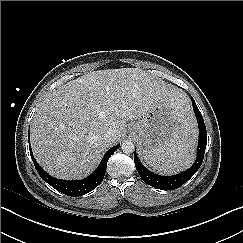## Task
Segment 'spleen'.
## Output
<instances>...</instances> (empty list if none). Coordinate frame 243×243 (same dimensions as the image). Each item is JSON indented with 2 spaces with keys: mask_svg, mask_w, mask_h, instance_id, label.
<instances>
[{
  "mask_svg": "<svg viewBox=\"0 0 243 243\" xmlns=\"http://www.w3.org/2000/svg\"><path fill=\"white\" fill-rule=\"evenodd\" d=\"M194 129L181 125L170 142L153 153L144 155L145 162L164 173H175L189 168L194 161Z\"/></svg>",
  "mask_w": 243,
  "mask_h": 243,
  "instance_id": "spleen-1",
  "label": "spleen"
}]
</instances>
